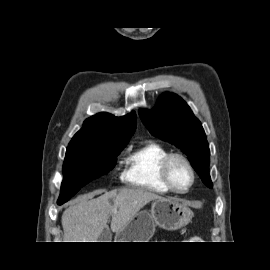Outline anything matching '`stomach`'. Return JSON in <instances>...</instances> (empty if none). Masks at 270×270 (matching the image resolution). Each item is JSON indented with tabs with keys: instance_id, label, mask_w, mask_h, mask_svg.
Masks as SVG:
<instances>
[{
	"instance_id": "1",
	"label": "stomach",
	"mask_w": 270,
	"mask_h": 270,
	"mask_svg": "<svg viewBox=\"0 0 270 270\" xmlns=\"http://www.w3.org/2000/svg\"><path fill=\"white\" fill-rule=\"evenodd\" d=\"M191 209L172 198H159L153 201L150 213L142 210L122 229L116 232V242H148L155 227L165 230H178L192 219Z\"/></svg>"
}]
</instances>
